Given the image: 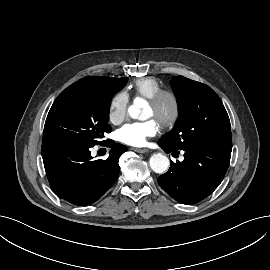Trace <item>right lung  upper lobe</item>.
Here are the masks:
<instances>
[{
  "label": "right lung upper lobe",
  "instance_id": "1",
  "mask_svg": "<svg viewBox=\"0 0 270 270\" xmlns=\"http://www.w3.org/2000/svg\"><path fill=\"white\" fill-rule=\"evenodd\" d=\"M116 78L112 77H106V76H91V77H85L77 82L73 83L68 87L70 88H76V87H82L87 85H102V84H108L112 81H114Z\"/></svg>",
  "mask_w": 270,
  "mask_h": 270
}]
</instances>
